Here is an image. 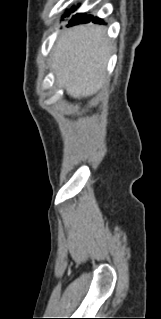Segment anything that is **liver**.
Instances as JSON below:
<instances>
[{
  "label": "liver",
  "instance_id": "obj_1",
  "mask_svg": "<svg viewBox=\"0 0 161 319\" xmlns=\"http://www.w3.org/2000/svg\"><path fill=\"white\" fill-rule=\"evenodd\" d=\"M110 51L102 26L88 24L65 30L53 49L51 68L57 84L73 98L95 94L105 82Z\"/></svg>",
  "mask_w": 161,
  "mask_h": 319
}]
</instances>
